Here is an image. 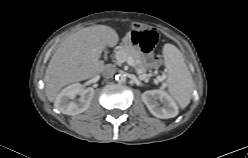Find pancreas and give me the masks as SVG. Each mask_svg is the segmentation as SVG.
Wrapping results in <instances>:
<instances>
[{
	"mask_svg": "<svg viewBox=\"0 0 248 158\" xmlns=\"http://www.w3.org/2000/svg\"><path fill=\"white\" fill-rule=\"evenodd\" d=\"M119 53L121 54V56H118ZM129 57L134 60L136 73L141 79L145 80L147 76L145 74L147 70L146 61L142 51L139 49L138 46L126 44L123 45L116 53V60L118 63L123 62V58ZM158 78H160V81H163L165 79V76H158Z\"/></svg>",
	"mask_w": 248,
	"mask_h": 158,
	"instance_id": "1",
	"label": "pancreas"
}]
</instances>
